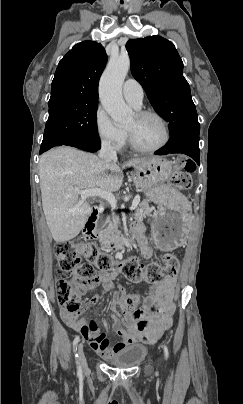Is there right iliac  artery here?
<instances>
[{"label":"right iliac artery","instance_id":"82829eb1","mask_svg":"<svg viewBox=\"0 0 243 404\" xmlns=\"http://www.w3.org/2000/svg\"><path fill=\"white\" fill-rule=\"evenodd\" d=\"M79 341H80V337L76 336L74 341H73V350H74V352L76 351V346H77ZM75 359H76V364H77V374L80 376L82 374V369H81L80 362L78 360V354L75 355Z\"/></svg>","mask_w":243,"mask_h":404}]
</instances>
